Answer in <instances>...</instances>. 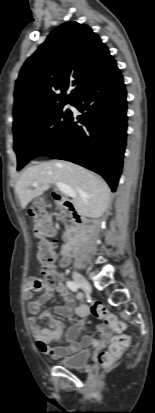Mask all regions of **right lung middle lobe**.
Returning a JSON list of instances; mask_svg holds the SVG:
<instances>
[{
	"instance_id": "1",
	"label": "right lung middle lobe",
	"mask_w": 155,
	"mask_h": 413,
	"mask_svg": "<svg viewBox=\"0 0 155 413\" xmlns=\"http://www.w3.org/2000/svg\"><path fill=\"white\" fill-rule=\"evenodd\" d=\"M64 105L13 124L17 170L40 156L64 130L72 115L70 110H63Z\"/></svg>"
}]
</instances>
